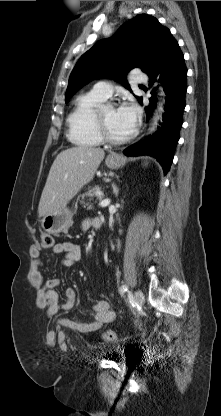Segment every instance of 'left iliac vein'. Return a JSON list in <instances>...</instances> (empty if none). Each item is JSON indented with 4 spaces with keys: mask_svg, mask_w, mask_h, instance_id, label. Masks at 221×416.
Masks as SVG:
<instances>
[{
    "mask_svg": "<svg viewBox=\"0 0 221 416\" xmlns=\"http://www.w3.org/2000/svg\"><path fill=\"white\" fill-rule=\"evenodd\" d=\"M134 301L137 305L142 306L144 303V295L141 290H136L134 293Z\"/></svg>",
    "mask_w": 221,
    "mask_h": 416,
    "instance_id": "obj_1",
    "label": "left iliac vein"
}]
</instances>
